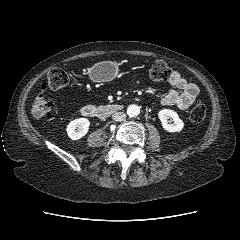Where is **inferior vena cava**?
Returning <instances> with one entry per match:
<instances>
[{"mask_svg": "<svg viewBox=\"0 0 240 240\" xmlns=\"http://www.w3.org/2000/svg\"><path fill=\"white\" fill-rule=\"evenodd\" d=\"M126 118V114L123 112H116L112 115L114 121H123Z\"/></svg>", "mask_w": 240, "mask_h": 240, "instance_id": "602c4592", "label": "inferior vena cava"}]
</instances>
